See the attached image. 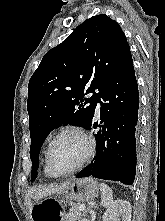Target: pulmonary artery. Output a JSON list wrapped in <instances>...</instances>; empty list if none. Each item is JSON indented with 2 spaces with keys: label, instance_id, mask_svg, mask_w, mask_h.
Returning <instances> with one entry per match:
<instances>
[{
  "label": "pulmonary artery",
  "instance_id": "e3ab8cb5",
  "mask_svg": "<svg viewBox=\"0 0 165 221\" xmlns=\"http://www.w3.org/2000/svg\"><path fill=\"white\" fill-rule=\"evenodd\" d=\"M100 107H101V104H100V102H98V103H97V107H96V111H97V113H99V111H100Z\"/></svg>",
  "mask_w": 165,
  "mask_h": 221
}]
</instances>
